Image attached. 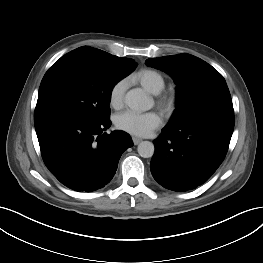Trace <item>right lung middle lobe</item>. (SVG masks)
Listing matches in <instances>:
<instances>
[{"label": "right lung middle lobe", "mask_w": 263, "mask_h": 263, "mask_svg": "<svg viewBox=\"0 0 263 263\" xmlns=\"http://www.w3.org/2000/svg\"><path fill=\"white\" fill-rule=\"evenodd\" d=\"M136 67L133 59H110L81 47L67 53L41 81L34 122L54 116L108 119L113 87Z\"/></svg>", "instance_id": "1"}]
</instances>
